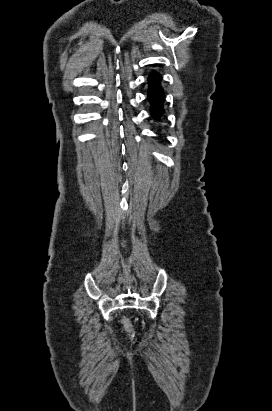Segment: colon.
I'll return each mask as SVG.
<instances>
[{
	"label": "colon",
	"instance_id": "colon-1",
	"mask_svg": "<svg viewBox=\"0 0 272 411\" xmlns=\"http://www.w3.org/2000/svg\"><path fill=\"white\" fill-rule=\"evenodd\" d=\"M123 326L127 334L132 335L134 333L133 325L131 321L128 318H124L123 321Z\"/></svg>",
	"mask_w": 272,
	"mask_h": 411
}]
</instances>
